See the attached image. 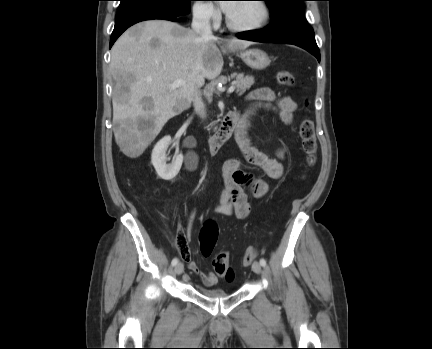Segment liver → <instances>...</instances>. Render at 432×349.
<instances>
[{
	"label": "liver",
	"instance_id": "liver-1",
	"mask_svg": "<svg viewBox=\"0 0 432 349\" xmlns=\"http://www.w3.org/2000/svg\"><path fill=\"white\" fill-rule=\"evenodd\" d=\"M216 43L165 20L139 23L118 38L110 62L113 131L127 157H139L169 119L190 107L205 79L220 75L224 62ZM251 44L231 39L226 47L235 52ZM177 79L185 84L171 89Z\"/></svg>",
	"mask_w": 432,
	"mask_h": 349
}]
</instances>
